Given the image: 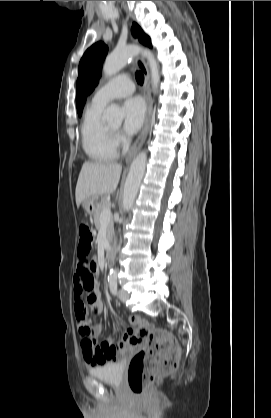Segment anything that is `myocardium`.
<instances>
[{"label":"myocardium","instance_id":"1","mask_svg":"<svg viewBox=\"0 0 271 418\" xmlns=\"http://www.w3.org/2000/svg\"><path fill=\"white\" fill-rule=\"evenodd\" d=\"M108 130H109V132L112 136H114V137L116 136V133H117L116 130H113L112 128H109V127H108Z\"/></svg>","mask_w":271,"mask_h":418}]
</instances>
